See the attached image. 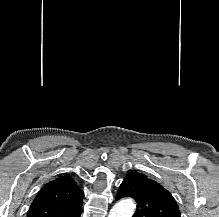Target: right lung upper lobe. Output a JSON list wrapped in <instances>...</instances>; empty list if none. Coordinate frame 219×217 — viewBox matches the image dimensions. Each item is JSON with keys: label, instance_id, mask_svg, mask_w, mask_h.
<instances>
[{"label": "right lung upper lobe", "instance_id": "obj_1", "mask_svg": "<svg viewBox=\"0 0 219 217\" xmlns=\"http://www.w3.org/2000/svg\"><path fill=\"white\" fill-rule=\"evenodd\" d=\"M83 191L69 175L50 181L32 202L28 217H80Z\"/></svg>", "mask_w": 219, "mask_h": 217}]
</instances>
